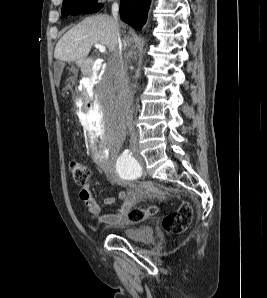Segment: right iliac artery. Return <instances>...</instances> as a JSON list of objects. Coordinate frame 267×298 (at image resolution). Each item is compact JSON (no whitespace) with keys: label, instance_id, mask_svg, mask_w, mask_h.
Returning a JSON list of instances; mask_svg holds the SVG:
<instances>
[{"label":"right iliac artery","instance_id":"1","mask_svg":"<svg viewBox=\"0 0 267 298\" xmlns=\"http://www.w3.org/2000/svg\"><path fill=\"white\" fill-rule=\"evenodd\" d=\"M120 160L122 163H125L128 165H136L137 164V161L135 160V158L132 156V153L128 149H126L122 153Z\"/></svg>","mask_w":267,"mask_h":298}]
</instances>
